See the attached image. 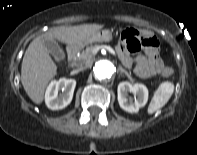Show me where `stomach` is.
Masks as SVG:
<instances>
[{
    "mask_svg": "<svg viewBox=\"0 0 197 155\" xmlns=\"http://www.w3.org/2000/svg\"><path fill=\"white\" fill-rule=\"evenodd\" d=\"M113 38L112 32L108 29H102L97 32H95L90 37L84 39L81 43H79V46H84L93 42H109Z\"/></svg>",
    "mask_w": 197,
    "mask_h": 155,
    "instance_id": "stomach-1",
    "label": "stomach"
}]
</instances>
